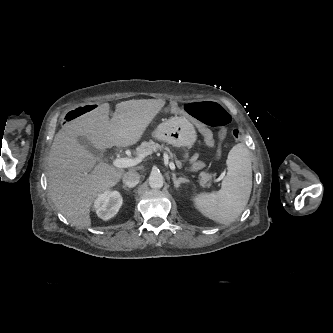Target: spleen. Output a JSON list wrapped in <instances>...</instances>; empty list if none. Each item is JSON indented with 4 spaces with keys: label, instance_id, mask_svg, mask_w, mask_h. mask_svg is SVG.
<instances>
[{
    "label": "spleen",
    "instance_id": "spleen-1",
    "mask_svg": "<svg viewBox=\"0 0 333 333\" xmlns=\"http://www.w3.org/2000/svg\"><path fill=\"white\" fill-rule=\"evenodd\" d=\"M227 175L217 192L202 193L194 202L196 209L205 217L229 224L243 212L252 189L251 153L243 143L235 145L226 161Z\"/></svg>",
    "mask_w": 333,
    "mask_h": 333
}]
</instances>
